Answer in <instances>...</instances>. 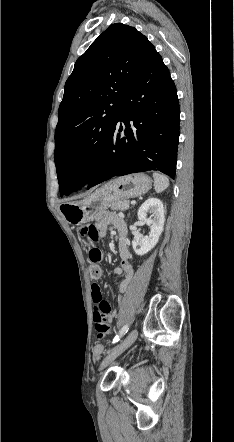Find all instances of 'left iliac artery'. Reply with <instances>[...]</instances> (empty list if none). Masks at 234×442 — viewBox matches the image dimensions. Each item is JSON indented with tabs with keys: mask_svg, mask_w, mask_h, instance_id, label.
<instances>
[{
	"mask_svg": "<svg viewBox=\"0 0 234 442\" xmlns=\"http://www.w3.org/2000/svg\"><path fill=\"white\" fill-rule=\"evenodd\" d=\"M129 330V326L126 324L122 327V329L120 330L119 334L115 336V338L113 339V343H116L120 340V338L125 335Z\"/></svg>",
	"mask_w": 234,
	"mask_h": 442,
	"instance_id": "44dca946",
	"label": "left iliac artery"
}]
</instances>
